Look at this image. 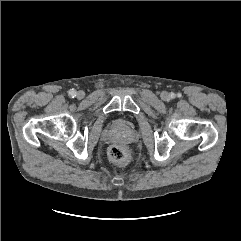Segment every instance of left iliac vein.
I'll return each instance as SVG.
<instances>
[{
    "label": "left iliac vein",
    "mask_w": 241,
    "mask_h": 241,
    "mask_svg": "<svg viewBox=\"0 0 241 241\" xmlns=\"http://www.w3.org/2000/svg\"><path fill=\"white\" fill-rule=\"evenodd\" d=\"M168 97H169V95H168L167 92H162V93H161V98H162L163 100H167Z\"/></svg>",
    "instance_id": "4c4485c4"
}]
</instances>
